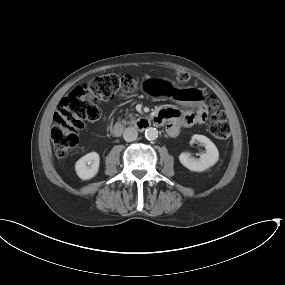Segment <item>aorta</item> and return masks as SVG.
<instances>
[{
    "instance_id": "762f6f07",
    "label": "aorta",
    "mask_w": 285,
    "mask_h": 285,
    "mask_svg": "<svg viewBox=\"0 0 285 285\" xmlns=\"http://www.w3.org/2000/svg\"><path fill=\"white\" fill-rule=\"evenodd\" d=\"M145 137L148 140H155V139H157V137H158L157 129L153 128V127L147 128L146 131H145Z\"/></svg>"
}]
</instances>
